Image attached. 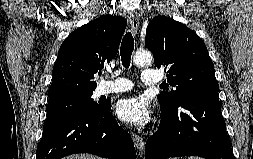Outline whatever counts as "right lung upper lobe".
<instances>
[{"label":"right lung upper lobe","mask_w":253,"mask_h":159,"mask_svg":"<svg viewBox=\"0 0 253 159\" xmlns=\"http://www.w3.org/2000/svg\"><path fill=\"white\" fill-rule=\"evenodd\" d=\"M126 26L123 18L104 15L72 32L59 49L49 100L94 91V75L116 56Z\"/></svg>","instance_id":"right-lung-upper-lobe-1"}]
</instances>
